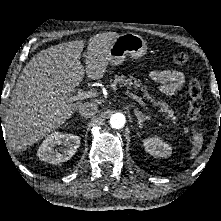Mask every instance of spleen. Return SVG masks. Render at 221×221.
Listing matches in <instances>:
<instances>
[{
    "label": "spleen",
    "instance_id": "spleen-1",
    "mask_svg": "<svg viewBox=\"0 0 221 221\" xmlns=\"http://www.w3.org/2000/svg\"><path fill=\"white\" fill-rule=\"evenodd\" d=\"M202 143H203V135L202 133H194L193 137H192V144L194 145L192 151H191V156L195 157L199 150L202 147Z\"/></svg>",
    "mask_w": 221,
    "mask_h": 221
}]
</instances>
